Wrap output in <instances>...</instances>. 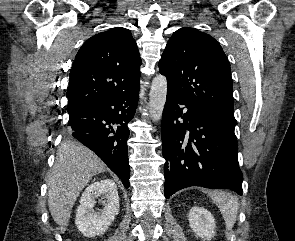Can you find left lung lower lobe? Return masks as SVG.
Masks as SVG:
<instances>
[{
	"mask_svg": "<svg viewBox=\"0 0 295 241\" xmlns=\"http://www.w3.org/2000/svg\"><path fill=\"white\" fill-rule=\"evenodd\" d=\"M179 105H185V113ZM234 128L167 90L162 115L166 198L189 186L231 189L242 195Z\"/></svg>",
	"mask_w": 295,
	"mask_h": 241,
	"instance_id": "0a47b994",
	"label": "left lung lower lobe"
}]
</instances>
